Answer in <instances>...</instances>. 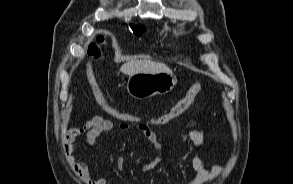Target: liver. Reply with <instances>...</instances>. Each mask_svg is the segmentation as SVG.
I'll list each match as a JSON object with an SVG mask.
<instances>
[{"label": "liver", "mask_w": 293, "mask_h": 184, "mask_svg": "<svg viewBox=\"0 0 293 184\" xmlns=\"http://www.w3.org/2000/svg\"><path fill=\"white\" fill-rule=\"evenodd\" d=\"M120 71L129 76L136 73H161L172 72L171 69L164 63L153 62L148 59H132L131 61L123 64Z\"/></svg>", "instance_id": "1"}]
</instances>
